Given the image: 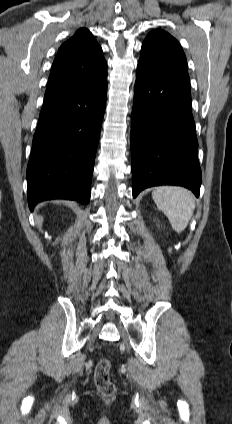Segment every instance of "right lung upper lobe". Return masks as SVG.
<instances>
[{
    "label": "right lung upper lobe",
    "instance_id": "1",
    "mask_svg": "<svg viewBox=\"0 0 232 424\" xmlns=\"http://www.w3.org/2000/svg\"><path fill=\"white\" fill-rule=\"evenodd\" d=\"M106 77L107 63L101 47L89 30L81 28L59 48L44 97L94 86Z\"/></svg>",
    "mask_w": 232,
    "mask_h": 424
}]
</instances>
